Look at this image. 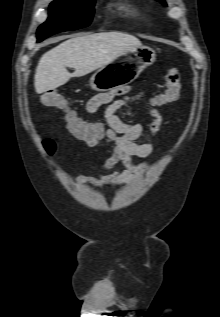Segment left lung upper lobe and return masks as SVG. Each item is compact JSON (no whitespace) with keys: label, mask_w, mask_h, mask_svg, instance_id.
Masks as SVG:
<instances>
[{"label":"left lung upper lobe","mask_w":220,"mask_h":317,"mask_svg":"<svg viewBox=\"0 0 220 317\" xmlns=\"http://www.w3.org/2000/svg\"><path fill=\"white\" fill-rule=\"evenodd\" d=\"M159 2H161L162 4L166 5L165 1L164 0H157Z\"/></svg>","instance_id":"obj_1"}]
</instances>
